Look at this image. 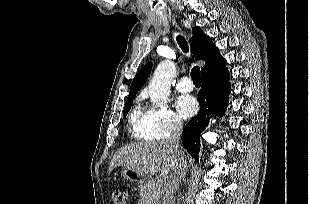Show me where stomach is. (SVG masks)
<instances>
[{"instance_id":"stomach-1","label":"stomach","mask_w":309,"mask_h":204,"mask_svg":"<svg viewBox=\"0 0 309 204\" xmlns=\"http://www.w3.org/2000/svg\"><path fill=\"white\" fill-rule=\"evenodd\" d=\"M121 175L123 176L125 180L135 182L140 185H144L146 182H148L151 179L150 175L140 173L136 170H133L127 167L122 168Z\"/></svg>"}]
</instances>
